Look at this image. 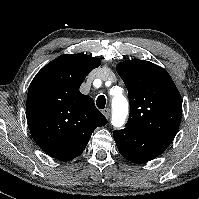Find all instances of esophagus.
Returning a JSON list of instances; mask_svg holds the SVG:
<instances>
[{
	"mask_svg": "<svg viewBox=\"0 0 199 199\" xmlns=\"http://www.w3.org/2000/svg\"><path fill=\"white\" fill-rule=\"evenodd\" d=\"M102 113L104 114V116L108 119L110 117V109L109 108H105L102 110Z\"/></svg>",
	"mask_w": 199,
	"mask_h": 199,
	"instance_id": "obj_1",
	"label": "esophagus"
}]
</instances>
